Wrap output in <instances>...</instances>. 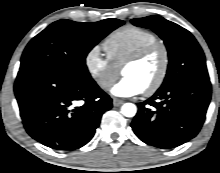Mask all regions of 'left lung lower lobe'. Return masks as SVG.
Returning a JSON list of instances; mask_svg holds the SVG:
<instances>
[{
  "instance_id": "left-lung-lower-lobe-1",
  "label": "left lung lower lobe",
  "mask_w": 220,
  "mask_h": 173,
  "mask_svg": "<svg viewBox=\"0 0 220 173\" xmlns=\"http://www.w3.org/2000/svg\"><path fill=\"white\" fill-rule=\"evenodd\" d=\"M211 99L210 81H188L158 89L138 103L131 123L137 137L148 145L171 149L200 131Z\"/></svg>"
}]
</instances>
